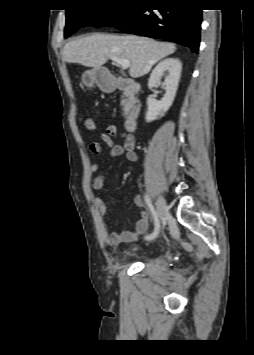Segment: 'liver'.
<instances>
[{
    "label": "liver",
    "mask_w": 254,
    "mask_h": 355,
    "mask_svg": "<svg viewBox=\"0 0 254 355\" xmlns=\"http://www.w3.org/2000/svg\"><path fill=\"white\" fill-rule=\"evenodd\" d=\"M175 50L176 46L172 43L158 42L147 37L95 33L68 42L62 50V58L67 63H78L95 69L101 68L111 57L128 59L130 76L139 78Z\"/></svg>",
    "instance_id": "obj_1"
}]
</instances>
